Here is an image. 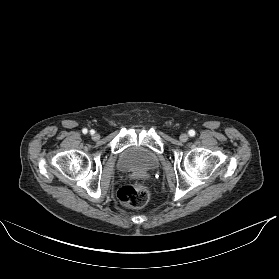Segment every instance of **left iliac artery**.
<instances>
[{
    "instance_id": "left-iliac-artery-1",
    "label": "left iliac artery",
    "mask_w": 279,
    "mask_h": 279,
    "mask_svg": "<svg viewBox=\"0 0 279 279\" xmlns=\"http://www.w3.org/2000/svg\"><path fill=\"white\" fill-rule=\"evenodd\" d=\"M189 136L193 137L195 135V131L193 129L189 130Z\"/></svg>"
}]
</instances>
